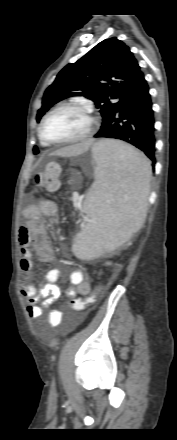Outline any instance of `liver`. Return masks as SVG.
Segmentation results:
<instances>
[{
    "label": "liver",
    "instance_id": "obj_1",
    "mask_svg": "<svg viewBox=\"0 0 177 440\" xmlns=\"http://www.w3.org/2000/svg\"><path fill=\"white\" fill-rule=\"evenodd\" d=\"M93 144V140H88L82 143H78L75 145L67 146L62 149H59L54 154L62 157H72L78 156L84 152H86L91 145Z\"/></svg>",
    "mask_w": 177,
    "mask_h": 440
}]
</instances>
